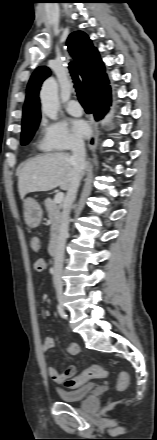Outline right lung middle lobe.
Here are the masks:
<instances>
[{"mask_svg":"<svg viewBox=\"0 0 157 440\" xmlns=\"http://www.w3.org/2000/svg\"><path fill=\"white\" fill-rule=\"evenodd\" d=\"M37 127H38V123H32L22 126L21 143L23 145H26L31 140Z\"/></svg>","mask_w":157,"mask_h":440,"instance_id":"1","label":"right lung middle lobe"}]
</instances>
